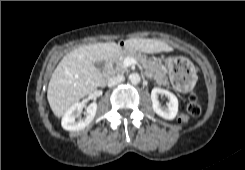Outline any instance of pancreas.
Returning <instances> with one entry per match:
<instances>
[{"label":"pancreas","mask_w":245,"mask_h":170,"mask_svg":"<svg viewBox=\"0 0 245 170\" xmlns=\"http://www.w3.org/2000/svg\"><path fill=\"white\" fill-rule=\"evenodd\" d=\"M126 57H131L140 63L146 70L147 75L154 79L158 85L166 86L169 84L165 70L157 62L148 60L146 57L135 51H122L114 59V74H124L128 72V68L123 65V61Z\"/></svg>","instance_id":"1"}]
</instances>
